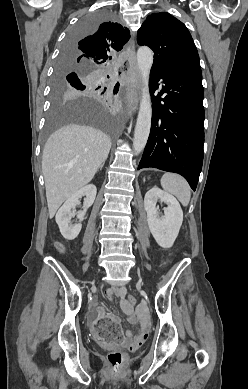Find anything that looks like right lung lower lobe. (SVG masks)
I'll use <instances>...</instances> for the list:
<instances>
[{
    "label": "right lung lower lobe",
    "mask_w": 248,
    "mask_h": 389,
    "mask_svg": "<svg viewBox=\"0 0 248 389\" xmlns=\"http://www.w3.org/2000/svg\"><path fill=\"white\" fill-rule=\"evenodd\" d=\"M73 77H77V74L73 73L72 75ZM118 89H119V84L117 83L115 88H114V91L117 93L118 92Z\"/></svg>",
    "instance_id": "right-lung-lower-lobe-1"
}]
</instances>
